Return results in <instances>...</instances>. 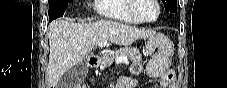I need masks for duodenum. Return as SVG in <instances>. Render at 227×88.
<instances>
[{
	"label": "duodenum",
	"mask_w": 227,
	"mask_h": 88,
	"mask_svg": "<svg viewBox=\"0 0 227 88\" xmlns=\"http://www.w3.org/2000/svg\"><path fill=\"white\" fill-rule=\"evenodd\" d=\"M97 62H98V59L97 58H90L88 61H87V65L90 67V68H93L97 65Z\"/></svg>",
	"instance_id": "1"
}]
</instances>
